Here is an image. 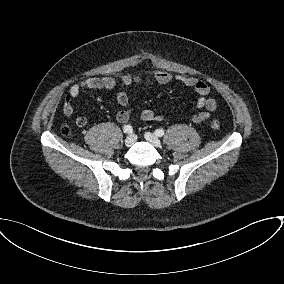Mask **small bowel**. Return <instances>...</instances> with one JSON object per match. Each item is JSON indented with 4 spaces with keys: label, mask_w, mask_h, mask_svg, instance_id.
I'll return each instance as SVG.
<instances>
[{
    "label": "small bowel",
    "mask_w": 284,
    "mask_h": 284,
    "mask_svg": "<svg viewBox=\"0 0 284 284\" xmlns=\"http://www.w3.org/2000/svg\"><path fill=\"white\" fill-rule=\"evenodd\" d=\"M147 80H154L159 84H168L173 80L191 88L196 96V102L193 109L197 112L193 117L194 123H202L211 117V113L217 109V101L210 96L209 86L203 82L187 75L173 76L166 71L155 72L146 76H133L130 74L122 75L119 78L114 77H89L73 84L64 99L63 111L66 115H71L74 111L72 101L77 98L82 90L90 89L96 91H107L116 87H129L133 84H139ZM117 103L123 107L116 114V119L119 123H126L131 117V110L127 108L129 103L128 95L124 91H119L116 96ZM206 109L207 111H201ZM141 119L147 122H161L164 120L163 116L151 109H145L141 112ZM76 124L79 127H84L87 124V119L80 116L76 119Z\"/></svg>",
    "instance_id": "small-bowel-1"
}]
</instances>
